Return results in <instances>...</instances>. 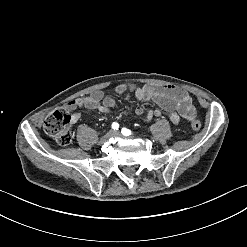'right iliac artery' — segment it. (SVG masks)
Segmentation results:
<instances>
[{
	"mask_svg": "<svg viewBox=\"0 0 247 247\" xmlns=\"http://www.w3.org/2000/svg\"><path fill=\"white\" fill-rule=\"evenodd\" d=\"M119 124L117 122L112 123V129L118 130Z\"/></svg>",
	"mask_w": 247,
	"mask_h": 247,
	"instance_id": "right-iliac-artery-1",
	"label": "right iliac artery"
}]
</instances>
